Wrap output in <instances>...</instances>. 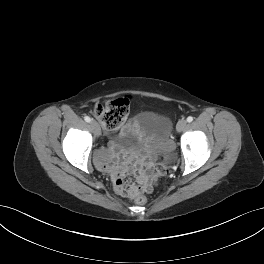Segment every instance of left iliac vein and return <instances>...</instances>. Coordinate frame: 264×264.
<instances>
[{"label": "left iliac vein", "instance_id": "left-iliac-vein-1", "mask_svg": "<svg viewBox=\"0 0 264 264\" xmlns=\"http://www.w3.org/2000/svg\"><path fill=\"white\" fill-rule=\"evenodd\" d=\"M186 124H187L186 120L184 119L179 120L176 125L177 131H182L185 128Z\"/></svg>", "mask_w": 264, "mask_h": 264}]
</instances>
